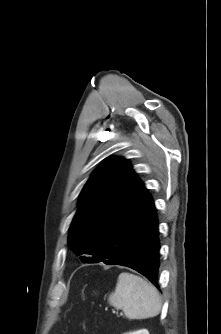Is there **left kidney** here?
<instances>
[{
    "mask_svg": "<svg viewBox=\"0 0 221 334\" xmlns=\"http://www.w3.org/2000/svg\"><path fill=\"white\" fill-rule=\"evenodd\" d=\"M124 334H149V332L146 329H142V330H138V331H135V332L124 333Z\"/></svg>",
    "mask_w": 221,
    "mask_h": 334,
    "instance_id": "5707ae66",
    "label": "left kidney"
}]
</instances>
